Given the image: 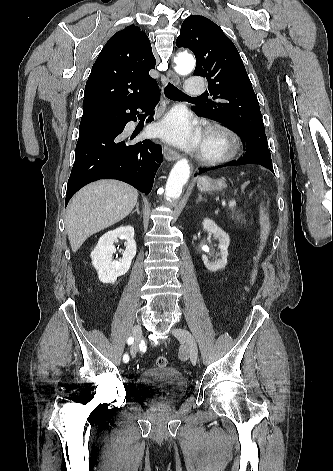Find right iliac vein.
I'll use <instances>...</instances> for the list:
<instances>
[{"label":"right iliac vein","mask_w":333,"mask_h":471,"mask_svg":"<svg viewBox=\"0 0 333 471\" xmlns=\"http://www.w3.org/2000/svg\"><path fill=\"white\" fill-rule=\"evenodd\" d=\"M132 335L134 337V342L131 347V354L134 356L139 348V344L142 338V327L141 325L137 324L132 328Z\"/></svg>","instance_id":"obj_1"}]
</instances>
